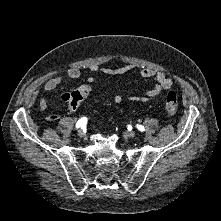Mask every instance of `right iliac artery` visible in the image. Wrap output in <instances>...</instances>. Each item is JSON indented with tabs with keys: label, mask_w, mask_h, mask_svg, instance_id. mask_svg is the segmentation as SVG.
<instances>
[{
	"label": "right iliac artery",
	"mask_w": 221,
	"mask_h": 221,
	"mask_svg": "<svg viewBox=\"0 0 221 221\" xmlns=\"http://www.w3.org/2000/svg\"><path fill=\"white\" fill-rule=\"evenodd\" d=\"M87 124V118L86 117H82L80 120H78V122L76 123V128H84Z\"/></svg>",
	"instance_id": "obj_1"
}]
</instances>
